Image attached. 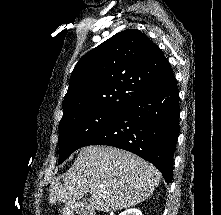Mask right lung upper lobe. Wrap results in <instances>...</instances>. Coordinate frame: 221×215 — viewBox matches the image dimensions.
<instances>
[{
    "mask_svg": "<svg viewBox=\"0 0 221 215\" xmlns=\"http://www.w3.org/2000/svg\"><path fill=\"white\" fill-rule=\"evenodd\" d=\"M172 74L159 47L141 31L127 29L79 60L64 97L63 117L95 108L121 112Z\"/></svg>",
    "mask_w": 221,
    "mask_h": 215,
    "instance_id": "cb5924a9",
    "label": "right lung upper lobe"
}]
</instances>
